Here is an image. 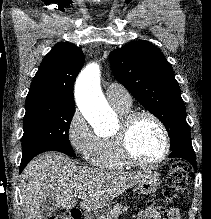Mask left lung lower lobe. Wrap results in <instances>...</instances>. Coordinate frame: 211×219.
Segmentation results:
<instances>
[{
    "mask_svg": "<svg viewBox=\"0 0 211 219\" xmlns=\"http://www.w3.org/2000/svg\"><path fill=\"white\" fill-rule=\"evenodd\" d=\"M169 158H182L189 161L196 171V156L191 139L182 140L171 150Z\"/></svg>",
    "mask_w": 211,
    "mask_h": 219,
    "instance_id": "1",
    "label": "left lung lower lobe"
}]
</instances>
